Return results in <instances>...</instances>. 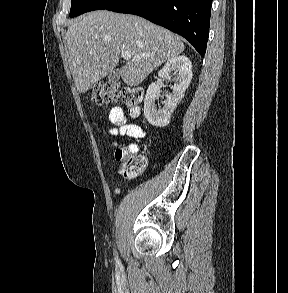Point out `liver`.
Segmentation results:
<instances>
[{
	"instance_id": "1",
	"label": "liver",
	"mask_w": 288,
	"mask_h": 293,
	"mask_svg": "<svg viewBox=\"0 0 288 293\" xmlns=\"http://www.w3.org/2000/svg\"><path fill=\"white\" fill-rule=\"evenodd\" d=\"M67 55L77 90L85 93L109 75L122 51L132 57L120 69L128 86H137L165 61L184 51L180 38L142 17L98 10L75 19L66 33Z\"/></svg>"
}]
</instances>
